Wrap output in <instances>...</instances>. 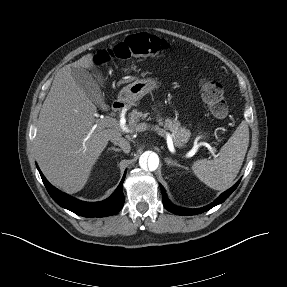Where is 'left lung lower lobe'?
<instances>
[{
	"label": "left lung lower lobe",
	"mask_w": 287,
	"mask_h": 287,
	"mask_svg": "<svg viewBox=\"0 0 287 287\" xmlns=\"http://www.w3.org/2000/svg\"><path fill=\"white\" fill-rule=\"evenodd\" d=\"M240 180L235 184L233 185L230 189H228L227 191H225L224 193H222L214 202H212L211 204L205 206V207H202V208H198V209H188V208H182V207H178V206H175L173 205L169 200L168 198L166 197L165 195V190L163 188L162 185L161 186V189H162V192H163V203H164V206L165 208L174 213V214H177V215H195V214H199V213H202V212H205L209 209H211L212 207L218 205V204H221L222 202H224L229 196L230 194L237 188L238 184H239Z\"/></svg>",
	"instance_id": "0a47b994"
}]
</instances>
